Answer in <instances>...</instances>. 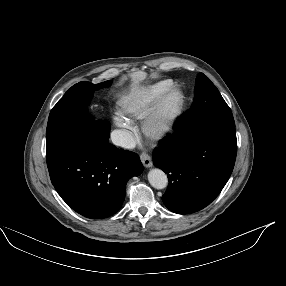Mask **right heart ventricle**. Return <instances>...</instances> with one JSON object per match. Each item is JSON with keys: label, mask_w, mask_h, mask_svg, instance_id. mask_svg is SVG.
Returning a JSON list of instances; mask_svg holds the SVG:
<instances>
[{"label": "right heart ventricle", "mask_w": 286, "mask_h": 286, "mask_svg": "<svg viewBox=\"0 0 286 286\" xmlns=\"http://www.w3.org/2000/svg\"><path fill=\"white\" fill-rule=\"evenodd\" d=\"M172 86L173 81L165 79L130 90L119 103L120 113L133 120L143 118L152 104Z\"/></svg>", "instance_id": "obj_1"}]
</instances>
